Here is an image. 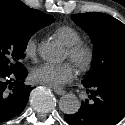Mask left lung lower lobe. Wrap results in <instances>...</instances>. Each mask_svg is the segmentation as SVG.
Segmentation results:
<instances>
[{
    "instance_id": "obj_1",
    "label": "left lung lower lobe",
    "mask_w": 125,
    "mask_h": 125,
    "mask_svg": "<svg viewBox=\"0 0 125 125\" xmlns=\"http://www.w3.org/2000/svg\"><path fill=\"white\" fill-rule=\"evenodd\" d=\"M84 84L88 99L78 112L64 115L69 125H115L125 116V76L104 77Z\"/></svg>"
}]
</instances>
